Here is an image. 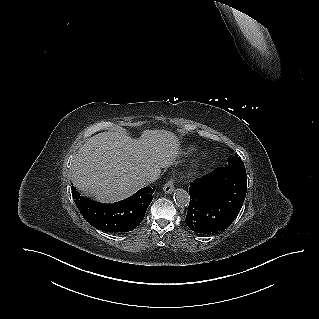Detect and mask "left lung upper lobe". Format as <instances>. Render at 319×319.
Returning a JSON list of instances; mask_svg holds the SVG:
<instances>
[{
	"instance_id": "1",
	"label": "left lung upper lobe",
	"mask_w": 319,
	"mask_h": 319,
	"mask_svg": "<svg viewBox=\"0 0 319 319\" xmlns=\"http://www.w3.org/2000/svg\"><path fill=\"white\" fill-rule=\"evenodd\" d=\"M228 166L245 168L243 161L237 155L233 154L228 158Z\"/></svg>"
}]
</instances>
